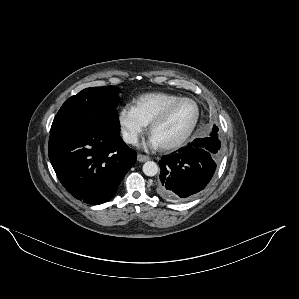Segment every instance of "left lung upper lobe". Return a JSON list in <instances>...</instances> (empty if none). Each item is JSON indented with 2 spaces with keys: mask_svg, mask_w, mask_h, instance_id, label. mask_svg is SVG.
Segmentation results:
<instances>
[{
  "mask_svg": "<svg viewBox=\"0 0 299 299\" xmlns=\"http://www.w3.org/2000/svg\"><path fill=\"white\" fill-rule=\"evenodd\" d=\"M217 132H218V127H216V126L214 125L213 130H212L210 136H208V137H209V141H210V142L214 145V147L217 148V150L220 152L221 142H220V140H219V138H218V133H217Z\"/></svg>",
  "mask_w": 299,
  "mask_h": 299,
  "instance_id": "5c2ea615",
  "label": "left lung upper lobe"
}]
</instances>
